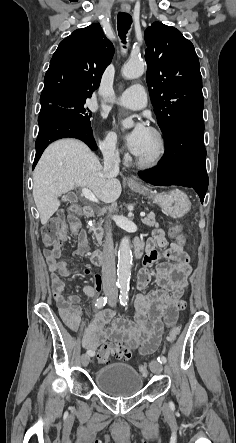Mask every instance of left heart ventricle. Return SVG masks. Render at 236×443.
<instances>
[{
    "mask_svg": "<svg viewBox=\"0 0 236 443\" xmlns=\"http://www.w3.org/2000/svg\"><path fill=\"white\" fill-rule=\"evenodd\" d=\"M157 149V140L155 136L150 131H148L142 147L137 155L140 157H151L157 152Z\"/></svg>",
    "mask_w": 236,
    "mask_h": 443,
    "instance_id": "b2bd125f",
    "label": "left heart ventricle"
}]
</instances>
